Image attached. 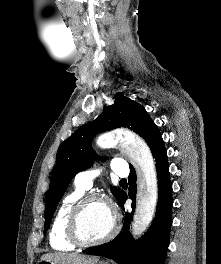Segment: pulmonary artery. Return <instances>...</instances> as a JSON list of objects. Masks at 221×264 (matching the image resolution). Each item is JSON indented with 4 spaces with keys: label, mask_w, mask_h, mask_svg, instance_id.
Instances as JSON below:
<instances>
[{
    "label": "pulmonary artery",
    "mask_w": 221,
    "mask_h": 264,
    "mask_svg": "<svg viewBox=\"0 0 221 264\" xmlns=\"http://www.w3.org/2000/svg\"><path fill=\"white\" fill-rule=\"evenodd\" d=\"M111 168L113 172L120 177H126L129 173L126 162L120 158H115L112 160ZM100 173L101 169L99 168L81 171L75 176V185L84 191L88 190L92 187L94 179L98 177Z\"/></svg>",
    "instance_id": "pulmonary-artery-1"
}]
</instances>
